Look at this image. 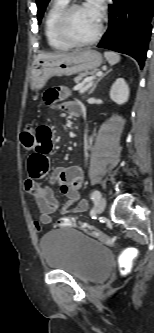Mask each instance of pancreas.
I'll return each instance as SVG.
<instances>
[{
	"label": "pancreas",
	"instance_id": "cf45deb5",
	"mask_svg": "<svg viewBox=\"0 0 154 333\" xmlns=\"http://www.w3.org/2000/svg\"><path fill=\"white\" fill-rule=\"evenodd\" d=\"M93 74H95V71L81 73L77 77H75L74 81L77 84H79L83 79H85L87 77V75H93Z\"/></svg>",
	"mask_w": 154,
	"mask_h": 333
}]
</instances>
